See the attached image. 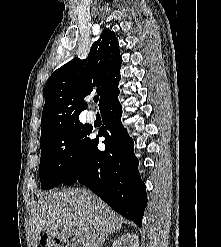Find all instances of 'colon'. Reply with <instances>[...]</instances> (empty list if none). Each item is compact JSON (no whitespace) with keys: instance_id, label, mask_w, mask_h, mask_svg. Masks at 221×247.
I'll return each instance as SVG.
<instances>
[{"instance_id":"1","label":"colon","mask_w":221,"mask_h":247,"mask_svg":"<svg viewBox=\"0 0 221 247\" xmlns=\"http://www.w3.org/2000/svg\"><path fill=\"white\" fill-rule=\"evenodd\" d=\"M38 247H66V246L60 242L47 241L42 243Z\"/></svg>"}]
</instances>
